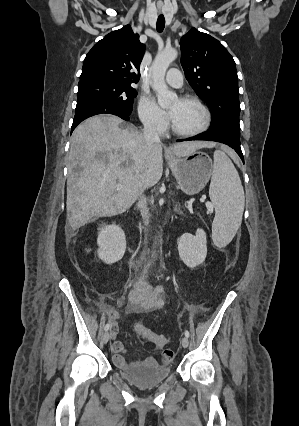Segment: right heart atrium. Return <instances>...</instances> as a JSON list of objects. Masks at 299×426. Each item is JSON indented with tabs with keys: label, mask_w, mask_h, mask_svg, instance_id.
Listing matches in <instances>:
<instances>
[{
	"label": "right heart atrium",
	"mask_w": 299,
	"mask_h": 426,
	"mask_svg": "<svg viewBox=\"0 0 299 426\" xmlns=\"http://www.w3.org/2000/svg\"><path fill=\"white\" fill-rule=\"evenodd\" d=\"M138 114L143 125L156 132H162L167 126L163 112L148 95H143L138 104Z\"/></svg>",
	"instance_id": "right-heart-atrium-1"
}]
</instances>
